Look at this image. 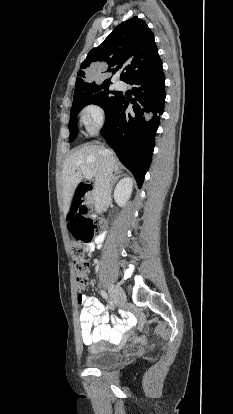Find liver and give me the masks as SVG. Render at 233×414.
I'll use <instances>...</instances> for the list:
<instances>
[{
  "instance_id": "obj_1",
  "label": "liver",
  "mask_w": 233,
  "mask_h": 414,
  "mask_svg": "<svg viewBox=\"0 0 233 414\" xmlns=\"http://www.w3.org/2000/svg\"><path fill=\"white\" fill-rule=\"evenodd\" d=\"M106 150L102 145H85L64 161L62 169L64 214L69 212L76 187L85 177V174L90 173L95 178L98 175ZM113 170L115 172L120 171V163L114 156Z\"/></svg>"
}]
</instances>
